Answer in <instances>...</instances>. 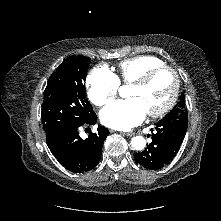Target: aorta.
I'll use <instances>...</instances> for the list:
<instances>
[{
	"mask_svg": "<svg viewBox=\"0 0 221 221\" xmlns=\"http://www.w3.org/2000/svg\"><path fill=\"white\" fill-rule=\"evenodd\" d=\"M131 145L135 150H143L146 146V140L143 136H135L131 139Z\"/></svg>",
	"mask_w": 221,
	"mask_h": 221,
	"instance_id": "obj_1",
	"label": "aorta"
}]
</instances>
